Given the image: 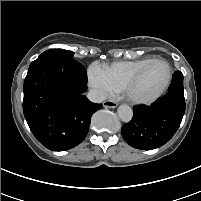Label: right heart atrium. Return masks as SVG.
I'll return each mask as SVG.
<instances>
[{
  "label": "right heart atrium",
  "instance_id": "obj_1",
  "mask_svg": "<svg viewBox=\"0 0 201 201\" xmlns=\"http://www.w3.org/2000/svg\"><path fill=\"white\" fill-rule=\"evenodd\" d=\"M88 82L98 99H105L117 93L107 72L99 64H92L88 69Z\"/></svg>",
  "mask_w": 201,
  "mask_h": 201
}]
</instances>
